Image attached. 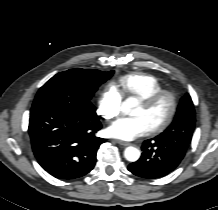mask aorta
I'll return each mask as SVG.
<instances>
[{"label":"aorta","mask_w":218,"mask_h":210,"mask_svg":"<svg viewBox=\"0 0 218 210\" xmlns=\"http://www.w3.org/2000/svg\"><path fill=\"white\" fill-rule=\"evenodd\" d=\"M138 105V100L134 97L127 98L123 103L121 110L124 114L130 115L132 112V109ZM140 151L139 149L129 146L124 151V157L126 160L130 162H135L140 157Z\"/></svg>","instance_id":"762f6f07"}]
</instances>
